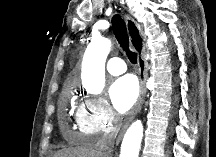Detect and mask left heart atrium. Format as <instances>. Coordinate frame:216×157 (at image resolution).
<instances>
[{"mask_svg":"<svg viewBox=\"0 0 216 157\" xmlns=\"http://www.w3.org/2000/svg\"><path fill=\"white\" fill-rule=\"evenodd\" d=\"M138 95L137 80L131 75L118 78L109 88L111 102L119 113L129 111L137 101Z\"/></svg>","mask_w":216,"mask_h":157,"instance_id":"obj_1","label":"left heart atrium"}]
</instances>
